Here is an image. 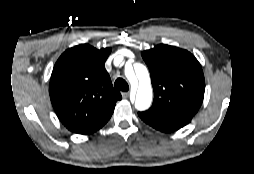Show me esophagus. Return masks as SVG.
Returning a JSON list of instances; mask_svg holds the SVG:
<instances>
[{"label": "esophagus", "mask_w": 254, "mask_h": 174, "mask_svg": "<svg viewBox=\"0 0 254 174\" xmlns=\"http://www.w3.org/2000/svg\"><path fill=\"white\" fill-rule=\"evenodd\" d=\"M122 97L127 99L129 97V92H122Z\"/></svg>", "instance_id": "obj_1"}]
</instances>
